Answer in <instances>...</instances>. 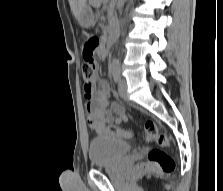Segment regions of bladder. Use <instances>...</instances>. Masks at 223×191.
<instances>
[{"instance_id":"obj_1","label":"bladder","mask_w":223,"mask_h":191,"mask_svg":"<svg viewBox=\"0 0 223 191\" xmlns=\"http://www.w3.org/2000/svg\"><path fill=\"white\" fill-rule=\"evenodd\" d=\"M131 144L114 136H98L88 146L90 165L95 168L111 166L121 162L131 151Z\"/></svg>"}]
</instances>
